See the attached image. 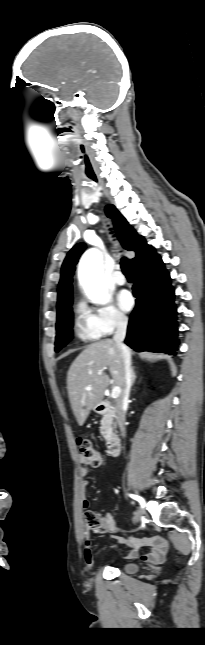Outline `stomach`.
<instances>
[{"mask_svg": "<svg viewBox=\"0 0 205 645\" xmlns=\"http://www.w3.org/2000/svg\"><path fill=\"white\" fill-rule=\"evenodd\" d=\"M95 411H97V406L93 408Z\"/></svg>", "mask_w": 205, "mask_h": 645, "instance_id": "obj_1", "label": "stomach"}]
</instances>
